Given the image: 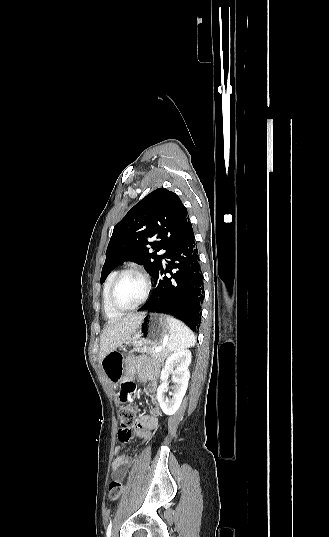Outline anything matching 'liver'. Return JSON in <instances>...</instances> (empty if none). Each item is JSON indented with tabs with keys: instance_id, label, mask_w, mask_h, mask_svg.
<instances>
[{
	"instance_id": "liver-1",
	"label": "liver",
	"mask_w": 329,
	"mask_h": 537,
	"mask_svg": "<svg viewBox=\"0 0 329 537\" xmlns=\"http://www.w3.org/2000/svg\"><path fill=\"white\" fill-rule=\"evenodd\" d=\"M143 314H134L117 321L109 322L100 337L99 362L111 351L128 341L138 328Z\"/></svg>"
}]
</instances>
